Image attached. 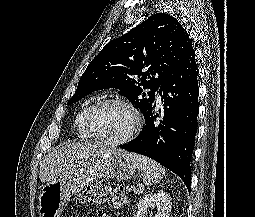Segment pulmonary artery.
Segmentation results:
<instances>
[{
    "label": "pulmonary artery",
    "mask_w": 255,
    "mask_h": 217,
    "mask_svg": "<svg viewBox=\"0 0 255 217\" xmlns=\"http://www.w3.org/2000/svg\"><path fill=\"white\" fill-rule=\"evenodd\" d=\"M156 98H157V103L161 104V96L158 91L156 92Z\"/></svg>",
    "instance_id": "1"
}]
</instances>
